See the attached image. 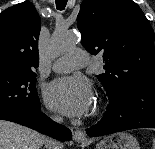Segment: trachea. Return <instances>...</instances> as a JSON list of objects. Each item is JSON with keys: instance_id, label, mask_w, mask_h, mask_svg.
Instances as JSON below:
<instances>
[{"instance_id": "3493384b", "label": "trachea", "mask_w": 155, "mask_h": 149, "mask_svg": "<svg viewBox=\"0 0 155 149\" xmlns=\"http://www.w3.org/2000/svg\"><path fill=\"white\" fill-rule=\"evenodd\" d=\"M67 0H56V7L58 10H64Z\"/></svg>"}]
</instances>
